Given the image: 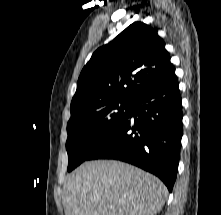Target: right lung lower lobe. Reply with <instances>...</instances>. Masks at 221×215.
I'll return each instance as SVG.
<instances>
[{"mask_svg": "<svg viewBox=\"0 0 221 215\" xmlns=\"http://www.w3.org/2000/svg\"><path fill=\"white\" fill-rule=\"evenodd\" d=\"M182 104L177 77L140 93L130 112L87 160L116 159L159 177L172 191L182 138Z\"/></svg>", "mask_w": 221, "mask_h": 215, "instance_id": "1", "label": "right lung lower lobe"}]
</instances>
